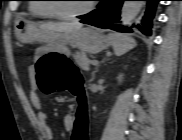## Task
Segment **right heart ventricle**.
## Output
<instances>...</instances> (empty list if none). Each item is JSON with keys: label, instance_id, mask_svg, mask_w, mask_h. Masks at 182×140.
Returning a JSON list of instances; mask_svg holds the SVG:
<instances>
[{"label": "right heart ventricle", "instance_id": "obj_1", "mask_svg": "<svg viewBox=\"0 0 182 140\" xmlns=\"http://www.w3.org/2000/svg\"><path fill=\"white\" fill-rule=\"evenodd\" d=\"M43 1L47 0H32V2L28 5L29 13L36 17L53 16L49 4L42 3Z\"/></svg>", "mask_w": 182, "mask_h": 140}]
</instances>
